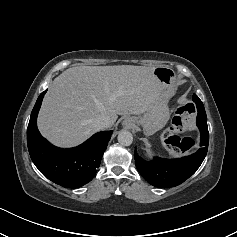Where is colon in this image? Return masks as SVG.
Wrapping results in <instances>:
<instances>
[{
	"label": "colon",
	"mask_w": 237,
	"mask_h": 237,
	"mask_svg": "<svg viewBox=\"0 0 237 237\" xmlns=\"http://www.w3.org/2000/svg\"><path fill=\"white\" fill-rule=\"evenodd\" d=\"M195 107L188 103L178 107L176 115L172 120L168 133L164 136L165 142L174 143L176 146L186 150L193 146L189 138H180L176 133L184 132L192 128L194 121Z\"/></svg>",
	"instance_id": "colon-1"
}]
</instances>
